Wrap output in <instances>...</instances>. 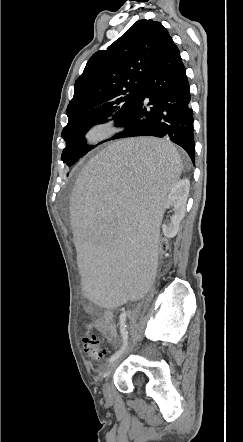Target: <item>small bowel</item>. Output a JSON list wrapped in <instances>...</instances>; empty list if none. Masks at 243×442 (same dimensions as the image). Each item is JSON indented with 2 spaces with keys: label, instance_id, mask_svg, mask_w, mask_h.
<instances>
[{
  "label": "small bowel",
  "instance_id": "small-bowel-1",
  "mask_svg": "<svg viewBox=\"0 0 243 442\" xmlns=\"http://www.w3.org/2000/svg\"><path fill=\"white\" fill-rule=\"evenodd\" d=\"M89 327L99 331L109 343L114 344L116 342L117 328L112 309H107L100 316H95L93 324Z\"/></svg>",
  "mask_w": 243,
  "mask_h": 442
}]
</instances>
